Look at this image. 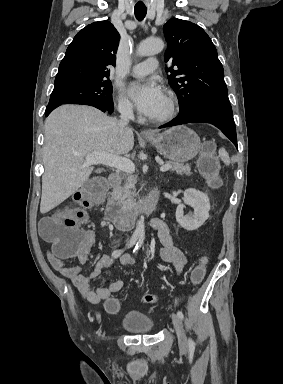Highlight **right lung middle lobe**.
Returning a JSON list of instances; mask_svg holds the SVG:
<instances>
[{
    "label": "right lung middle lobe",
    "instance_id": "obj_1",
    "mask_svg": "<svg viewBox=\"0 0 283 384\" xmlns=\"http://www.w3.org/2000/svg\"><path fill=\"white\" fill-rule=\"evenodd\" d=\"M108 104L112 101V83L107 79L54 87L47 107L61 104Z\"/></svg>",
    "mask_w": 283,
    "mask_h": 384
}]
</instances>
